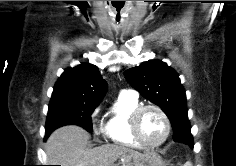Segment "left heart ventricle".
Here are the masks:
<instances>
[{
  "label": "left heart ventricle",
  "instance_id": "1",
  "mask_svg": "<svg viewBox=\"0 0 236 166\" xmlns=\"http://www.w3.org/2000/svg\"><path fill=\"white\" fill-rule=\"evenodd\" d=\"M140 133L147 143H157L163 138L165 123L157 111L149 109L143 113L140 119Z\"/></svg>",
  "mask_w": 236,
  "mask_h": 166
}]
</instances>
